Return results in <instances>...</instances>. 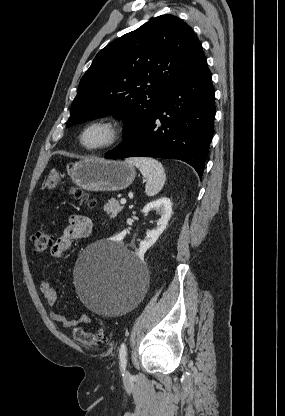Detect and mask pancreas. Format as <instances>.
Returning a JSON list of instances; mask_svg holds the SVG:
<instances>
[{
	"label": "pancreas",
	"mask_w": 285,
	"mask_h": 416,
	"mask_svg": "<svg viewBox=\"0 0 285 416\" xmlns=\"http://www.w3.org/2000/svg\"><path fill=\"white\" fill-rule=\"evenodd\" d=\"M124 206H120L119 202L115 200V198H112V200H109L108 204H105L103 210L104 212H107L108 216L110 218H115L117 216L118 212H121L123 210Z\"/></svg>",
	"instance_id": "cf45deb5"
}]
</instances>
